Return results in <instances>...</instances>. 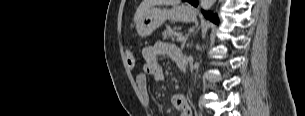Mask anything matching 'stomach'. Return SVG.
<instances>
[{
  "label": "stomach",
  "instance_id": "1",
  "mask_svg": "<svg viewBox=\"0 0 305 116\" xmlns=\"http://www.w3.org/2000/svg\"><path fill=\"white\" fill-rule=\"evenodd\" d=\"M167 19L181 22H192L196 19V12L193 7L187 4L175 5L171 9L151 7L137 21V33L143 38L148 37Z\"/></svg>",
  "mask_w": 305,
  "mask_h": 116
}]
</instances>
